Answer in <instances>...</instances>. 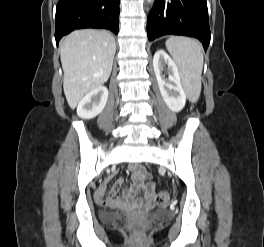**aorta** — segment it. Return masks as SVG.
I'll use <instances>...</instances> for the list:
<instances>
[{
    "instance_id": "obj_1",
    "label": "aorta",
    "mask_w": 264,
    "mask_h": 247,
    "mask_svg": "<svg viewBox=\"0 0 264 247\" xmlns=\"http://www.w3.org/2000/svg\"><path fill=\"white\" fill-rule=\"evenodd\" d=\"M147 2H148V3H152V2H154V0H147Z\"/></svg>"
}]
</instances>
